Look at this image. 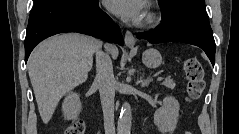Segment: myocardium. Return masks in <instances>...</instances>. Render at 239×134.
I'll return each instance as SVG.
<instances>
[{
    "label": "myocardium",
    "instance_id": "f54148a6",
    "mask_svg": "<svg viewBox=\"0 0 239 134\" xmlns=\"http://www.w3.org/2000/svg\"><path fill=\"white\" fill-rule=\"evenodd\" d=\"M158 17L155 12H149L146 19H145V24L146 25H151L157 21Z\"/></svg>",
    "mask_w": 239,
    "mask_h": 134
}]
</instances>
